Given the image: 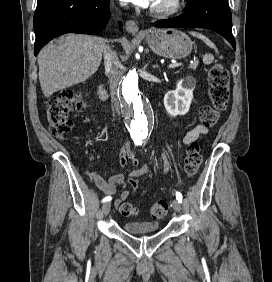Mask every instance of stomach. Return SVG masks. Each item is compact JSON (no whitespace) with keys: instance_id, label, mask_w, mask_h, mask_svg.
<instances>
[{"instance_id":"1","label":"stomach","mask_w":272,"mask_h":282,"mask_svg":"<svg viewBox=\"0 0 272 282\" xmlns=\"http://www.w3.org/2000/svg\"><path fill=\"white\" fill-rule=\"evenodd\" d=\"M146 41L155 54L170 59L186 57L193 45L185 33L176 29H150L146 31Z\"/></svg>"}]
</instances>
